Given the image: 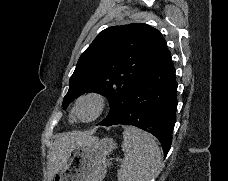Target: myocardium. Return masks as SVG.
Masks as SVG:
<instances>
[{
	"label": "myocardium",
	"mask_w": 228,
	"mask_h": 181,
	"mask_svg": "<svg viewBox=\"0 0 228 181\" xmlns=\"http://www.w3.org/2000/svg\"><path fill=\"white\" fill-rule=\"evenodd\" d=\"M83 103H87L91 108L90 117L87 118L86 120H92L100 114V112L103 108L104 101L101 96L96 95V94H90V95H85V96L81 97L77 101L76 106H75V113L77 115H79L80 108Z\"/></svg>",
	"instance_id": "myocardium-1"
}]
</instances>
